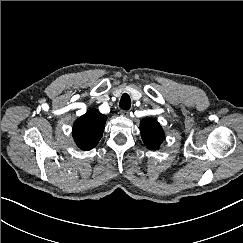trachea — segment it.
Instances as JSON below:
<instances>
[{"label": "trachea", "mask_w": 243, "mask_h": 243, "mask_svg": "<svg viewBox=\"0 0 243 243\" xmlns=\"http://www.w3.org/2000/svg\"><path fill=\"white\" fill-rule=\"evenodd\" d=\"M119 107L123 110H128L131 107V99L127 93H124L120 99Z\"/></svg>", "instance_id": "trachea-1"}]
</instances>
